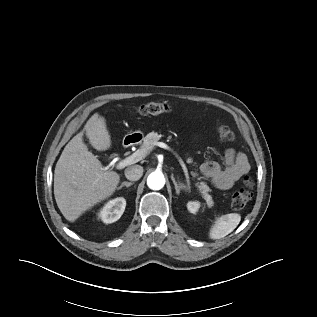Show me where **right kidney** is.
Listing matches in <instances>:
<instances>
[{
    "mask_svg": "<svg viewBox=\"0 0 317 317\" xmlns=\"http://www.w3.org/2000/svg\"><path fill=\"white\" fill-rule=\"evenodd\" d=\"M125 207L126 200L123 197L110 200L98 212V218H100L104 223H113L120 219L125 210Z\"/></svg>",
    "mask_w": 317,
    "mask_h": 317,
    "instance_id": "right-kidney-1",
    "label": "right kidney"
}]
</instances>
